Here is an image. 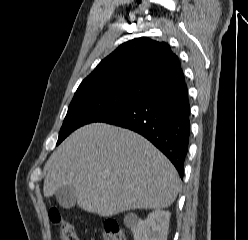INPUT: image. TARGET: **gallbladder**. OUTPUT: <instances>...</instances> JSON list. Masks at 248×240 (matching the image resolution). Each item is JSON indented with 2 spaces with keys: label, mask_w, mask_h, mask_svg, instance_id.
Masks as SVG:
<instances>
[{
  "label": "gallbladder",
  "mask_w": 248,
  "mask_h": 240,
  "mask_svg": "<svg viewBox=\"0 0 248 240\" xmlns=\"http://www.w3.org/2000/svg\"><path fill=\"white\" fill-rule=\"evenodd\" d=\"M59 205L65 209L74 207L77 200V190L72 186H65L55 193Z\"/></svg>",
  "instance_id": "gallbladder-1"
}]
</instances>
